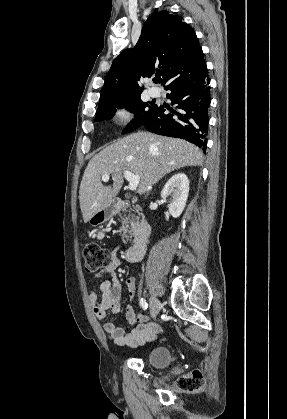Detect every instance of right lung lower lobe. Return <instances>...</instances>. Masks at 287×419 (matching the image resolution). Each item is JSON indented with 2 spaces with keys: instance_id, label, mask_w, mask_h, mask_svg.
<instances>
[{
  "instance_id": "1",
  "label": "right lung lower lobe",
  "mask_w": 287,
  "mask_h": 419,
  "mask_svg": "<svg viewBox=\"0 0 287 419\" xmlns=\"http://www.w3.org/2000/svg\"><path fill=\"white\" fill-rule=\"evenodd\" d=\"M210 79L207 70L202 74L165 87L175 109L157 106L141 125L148 131L185 139L206 151L210 105ZM166 109L170 113H165Z\"/></svg>"
}]
</instances>
